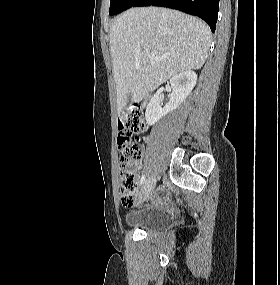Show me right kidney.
<instances>
[{"label":"right kidney","instance_id":"1","mask_svg":"<svg viewBox=\"0 0 280 285\" xmlns=\"http://www.w3.org/2000/svg\"><path fill=\"white\" fill-rule=\"evenodd\" d=\"M197 82V75L191 70L182 71L170 79L172 93L169 102L162 108L159 98L162 90L158 91L150 100L145 118L149 125H154L163 116L175 110L191 93Z\"/></svg>","mask_w":280,"mask_h":285}]
</instances>
